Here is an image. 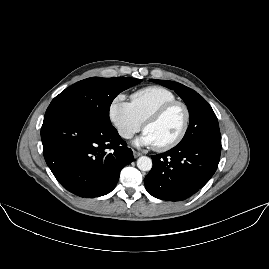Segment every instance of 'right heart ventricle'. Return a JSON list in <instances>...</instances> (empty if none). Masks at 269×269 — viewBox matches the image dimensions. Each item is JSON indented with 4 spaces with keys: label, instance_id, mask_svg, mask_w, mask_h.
I'll list each match as a JSON object with an SVG mask.
<instances>
[{
    "label": "right heart ventricle",
    "instance_id": "right-heart-ventricle-1",
    "mask_svg": "<svg viewBox=\"0 0 269 269\" xmlns=\"http://www.w3.org/2000/svg\"><path fill=\"white\" fill-rule=\"evenodd\" d=\"M176 100L175 94L163 87L152 86L131 95V107L143 123L147 115L161 105Z\"/></svg>",
    "mask_w": 269,
    "mask_h": 269
}]
</instances>
